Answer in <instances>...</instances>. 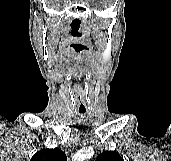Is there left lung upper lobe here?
<instances>
[{
    "label": "left lung upper lobe",
    "mask_w": 171,
    "mask_h": 161,
    "mask_svg": "<svg viewBox=\"0 0 171 161\" xmlns=\"http://www.w3.org/2000/svg\"><path fill=\"white\" fill-rule=\"evenodd\" d=\"M96 161H124V160L115 151H105L97 157Z\"/></svg>",
    "instance_id": "1"
}]
</instances>
